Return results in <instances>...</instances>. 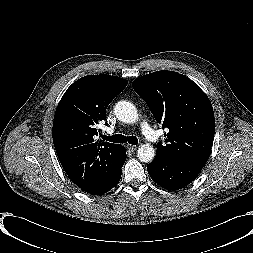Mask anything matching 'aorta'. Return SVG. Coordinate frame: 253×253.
<instances>
[{
	"label": "aorta",
	"instance_id": "762f6f07",
	"mask_svg": "<svg viewBox=\"0 0 253 253\" xmlns=\"http://www.w3.org/2000/svg\"><path fill=\"white\" fill-rule=\"evenodd\" d=\"M118 120L124 123H135L138 118L136 107L128 101H119L114 108ZM137 156L141 162L149 163L155 157V150L150 144H143L137 150Z\"/></svg>",
	"mask_w": 253,
	"mask_h": 253
}]
</instances>
